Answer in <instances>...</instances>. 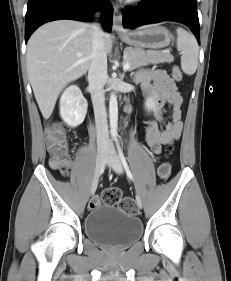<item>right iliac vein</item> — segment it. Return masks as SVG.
I'll use <instances>...</instances> for the list:
<instances>
[{"mask_svg": "<svg viewBox=\"0 0 231 281\" xmlns=\"http://www.w3.org/2000/svg\"><path fill=\"white\" fill-rule=\"evenodd\" d=\"M105 153H106L105 147H99L98 148L97 157H96L95 177L93 179L91 189H90L91 195H93L95 193L96 189H97L98 177H99L100 170H101V167H102L103 162H104Z\"/></svg>", "mask_w": 231, "mask_h": 281, "instance_id": "1", "label": "right iliac vein"}]
</instances>
